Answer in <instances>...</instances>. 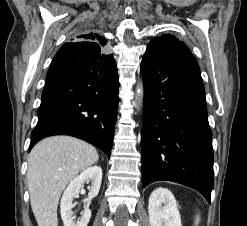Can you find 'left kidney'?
<instances>
[{
  "label": "left kidney",
  "mask_w": 247,
  "mask_h": 226,
  "mask_svg": "<svg viewBox=\"0 0 247 226\" xmlns=\"http://www.w3.org/2000/svg\"><path fill=\"white\" fill-rule=\"evenodd\" d=\"M148 213L151 226H182L175 197L168 189L157 188L151 193Z\"/></svg>",
  "instance_id": "1"
}]
</instances>
